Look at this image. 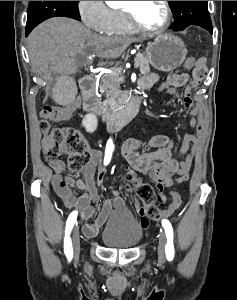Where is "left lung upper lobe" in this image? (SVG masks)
<instances>
[{"label":"left lung upper lobe","mask_w":237,"mask_h":300,"mask_svg":"<svg viewBox=\"0 0 237 300\" xmlns=\"http://www.w3.org/2000/svg\"><path fill=\"white\" fill-rule=\"evenodd\" d=\"M174 14L171 28L184 30L189 25H196L212 33V23L208 11V1H169Z\"/></svg>","instance_id":"5c2ea615"}]
</instances>
